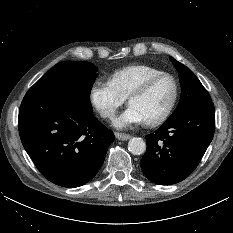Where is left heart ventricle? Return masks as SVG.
I'll return each instance as SVG.
<instances>
[{"instance_id": "left-heart-ventricle-1", "label": "left heart ventricle", "mask_w": 233, "mask_h": 233, "mask_svg": "<svg viewBox=\"0 0 233 233\" xmlns=\"http://www.w3.org/2000/svg\"><path fill=\"white\" fill-rule=\"evenodd\" d=\"M173 83L168 78L158 80L143 95L133 98L130 105L135 106L146 121L159 117L167 109L173 97Z\"/></svg>"}]
</instances>
